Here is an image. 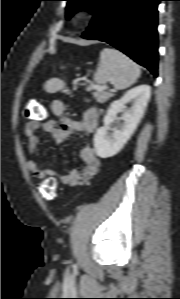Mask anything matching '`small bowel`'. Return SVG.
Returning <instances> with one entry per match:
<instances>
[{"label": "small bowel", "mask_w": 180, "mask_h": 299, "mask_svg": "<svg viewBox=\"0 0 180 299\" xmlns=\"http://www.w3.org/2000/svg\"><path fill=\"white\" fill-rule=\"evenodd\" d=\"M51 111L58 119L54 120H30L25 125V134L28 138V150L31 154H36L39 145L37 132L43 130L49 133L56 144H61L71 138L76 132L91 135L98 126V112L94 109L87 110L80 120H76L66 114L65 102L55 99L51 103ZM80 158L83 162L82 168H72L64 174H60L54 167H40L31 160L27 166L31 173L37 178L54 177L64 184L78 186L87 183L100 169L101 161L96 156L93 147L89 144L82 146Z\"/></svg>", "instance_id": "small-bowel-1"}]
</instances>
